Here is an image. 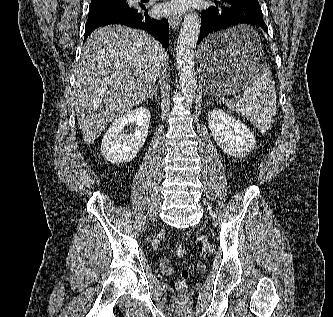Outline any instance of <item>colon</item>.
Listing matches in <instances>:
<instances>
[{
    "mask_svg": "<svg viewBox=\"0 0 333 317\" xmlns=\"http://www.w3.org/2000/svg\"><path fill=\"white\" fill-rule=\"evenodd\" d=\"M175 254L179 257V258H184L186 255V247L183 244H177L174 248ZM190 277V271L188 268H183L181 270V278L177 283V287L180 291H185L187 288V280Z\"/></svg>",
    "mask_w": 333,
    "mask_h": 317,
    "instance_id": "5ec220e1",
    "label": "colon"
}]
</instances>
